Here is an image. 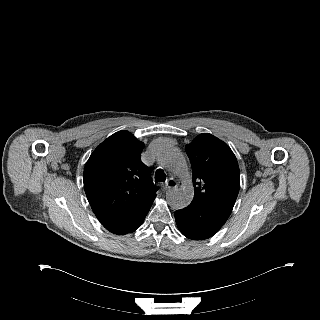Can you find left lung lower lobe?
<instances>
[{"label": "left lung lower lobe", "mask_w": 320, "mask_h": 320, "mask_svg": "<svg viewBox=\"0 0 320 320\" xmlns=\"http://www.w3.org/2000/svg\"><path fill=\"white\" fill-rule=\"evenodd\" d=\"M230 213L210 204L192 200L175 212L179 231L187 238L203 240L212 237L226 222Z\"/></svg>", "instance_id": "obj_1"}]
</instances>
